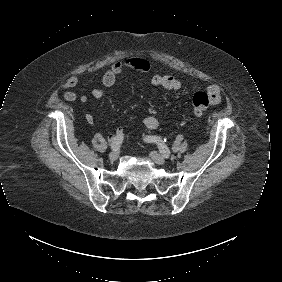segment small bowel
I'll return each mask as SVG.
<instances>
[{"instance_id": "1", "label": "small bowel", "mask_w": 282, "mask_h": 282, "mask_svg": "<svg viewBox=\"0 0 282 282\" xmlns=\"http://www.w3.org/2000/svg\"><path fill=\"white\" fill-rule=\"evenodd\" d=\"M124 67H128L140 72H151L152 66L150 63L142 57H129L124 61H116L112 66L105 72L103 76V86H97L92 90V95L95 98H101L105 95L107 90L119 84L118 76L122 72ZM80 76L72 75L70 76L62 85L61 89L65 90L64 99L68 102H73L77 99V94L71 90L74 86L78 84ZM151 84L153 87H161L168 90H179L182 86L181 82L171 76L155 74L151 78ZM207 93L210 97V103L212 105H217L221 101V90L216 85H211L207 88ZM87 102L86 97H81V103L85 104ZM86 121L88 124H94V117L91 113L86 114ZM143 123L148 129H156L160 125V120L154 115V111H151L148 116L143 120ZM123 134V129L118 128L115 135L120 136Z\"/></svg>"}]
</instances>
